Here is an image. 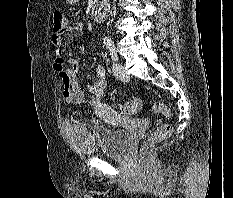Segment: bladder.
Wrapping results in <instances>:
<instances>
[{
    "label": "bladder",
    "instance_id": "bladder-1",
    "mask_svg": "<svg viewBox=\"0 0 233 198\" xmlns=\"http://www.w3.org/2000/svg\"><path fill=\"white\" fill-rule=\"evenodd\" d=\"M70 138L74 147L84 154L120 157L125 153L131 135L125 129L76 121L71 126Z\"/></svg>",
    "mask_w": 233,
    "mask_h": 198
}]
</instances>
